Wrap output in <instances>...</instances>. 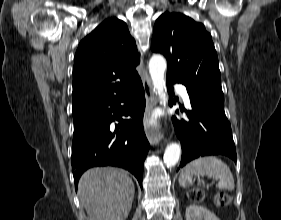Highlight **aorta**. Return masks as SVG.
Here are the masks:
<instances>
[{"mask_svg": "<svg viewBox=\"0 0 281 220\" xmlns=\"http://www.w3.org/2000/svg\"><path fill=\"white\" fill-rule=\"evenodd\" d=\"M167 68L166 60L161 55H153L149 61V73L152 78L154 90L160 98V103L164 106L168 100L166 85H165V71ZM181 155V147L172 143L168 145L164 153V163L168 168L175 166Z\"/></svg>", "mask_w": 281, "mask_h": 220, "instance_id": "1", "label": "aorta"}]
</instances>
